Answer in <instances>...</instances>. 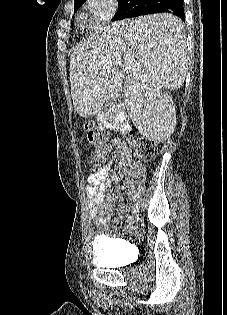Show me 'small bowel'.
I'll return each instance as SVG.
<instances>
[{
    "label": "small bowel",
    "mask_w": 227,
    "mask_h": 315,
    "mask_svg": "<svg viewBox=\"0 0 227 315\" xmlns=\"http://www.w3.org/2000/svg\"><path fill=\"white\" fill-rule=\"evenodd\" d=\"M109 154L111 157L104 166L91 173L86 179L88 214L94 225L104 224L113 214L112 195L106 193V189L109 188L111 182H117L120 178V175L117 173L113 174L111 178L109 177V169L113 161L117 159L120 168L130 165L132 162L129 150L119 143L115 145L113 150L109 151ZM116 195L119 198V208L125 214L127 208L119 190L116 191ZM128 229L130 232L136 231L134 225H130Z\"/></svg>",
    "instance_id": "obj_1"
}]
</instances>
